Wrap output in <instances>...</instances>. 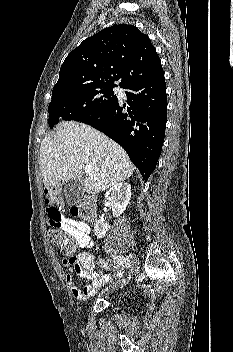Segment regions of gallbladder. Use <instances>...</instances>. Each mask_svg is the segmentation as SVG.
I'll use <instances>...</instances> for the list:
<instances>
[{
  "label": "gallbladder",
  "instance_id": "gallbladder-1",
  "mask_svg": "<svg viewBox=\"0 0 233 352\" xmlns=\"http://www.w3.org/2000/svg\"><path fill=\"white\" fill-rule=\"evenodd\" d=\"M83 195V180L72 179L64 186V196L69 205H76Z\"/></svg>",
  "mask_w": 233,
  "mask_h": 352
}]
</instances>
